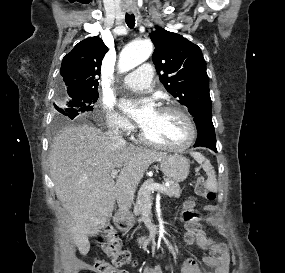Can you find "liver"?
Segmentation results:
<instances>
[{"mask_svg": "<svg viewBox=\"0 0 285 273\" xmlns=\"http://www.w3.org/2000/svg\"><path fill=\"white\" fill-rule=\"evenodd\" d=\"M166 154L111 139L88 126L65 127L53 139L50 174L58 200L73 219L70 233L82 255L90 250L88 235H96L111 215L115 200L127 214L145 170ZM121 168L114 182L110 173Z\"/></svg>", "mask_w": 285, "mask_h": 273, "instance_id": "1", "label": "liver"}]
</instances>
